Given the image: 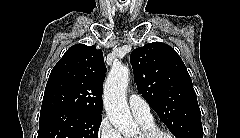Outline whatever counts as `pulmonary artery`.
I'll return each instance as SVG.
<instances>
[{"label":"pulmonary artery","instance_id":"e3ab8cb5","mask_svg":"<svg viewBox=\"0 0 240 138\" xmlns=\"http://www.w3.org/2000/svg\"><path fill=\"white\" fill-rule=\"evenodd\" d=\"M128 104L135 117L140 119H152L148 103L139 95H130L128 98Z\"/></svg>","mask_w":240,"mask_h":138}]
</instances>
